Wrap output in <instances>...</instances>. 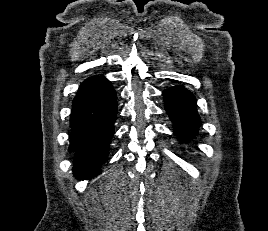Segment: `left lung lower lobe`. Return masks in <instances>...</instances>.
I'll list each match as a JSON object with an SVG mask.
<instances>
[{
    "label": "left lung lower lobe",
    "instance_id": "left-lung-lower-lobe-1",
    "mask_svg": "<svg viewBox=\"0 0 268 231\" xmlns=\"http://www.w3.org/2000/svg\"><path fill=\"white\" fill-rule=\"evenodd\" d=\"M163 97L166 112L173 121L178 140L190 141L198 133L201 123L194 95L183 87L176 86L166 89Z\"/></svg>",
    "mask_w": 268,
    "mask_h": 231
}]
</instances>
